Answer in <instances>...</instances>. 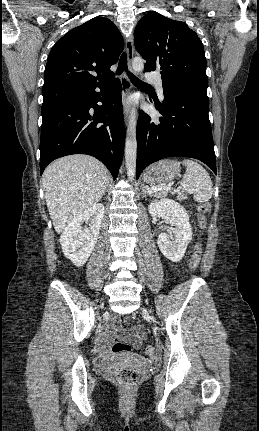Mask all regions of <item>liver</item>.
I'll return each instance as SVG.
<instances>
[{
    "mask_svg": "<svg viewBox=\"0 0 259 431\" xmlns=\"http://www.w3.org/2000/svg\"><path fill=\"white\" fill-rule=\"evenodd\" d=\"M42 181L53 226L61 233L76 215L99 202L108 176L105 166L94 157L70 155L51 163Z\"/></svg>",
    "mask_w": 259,
    "mask_h": 431,
    "instance_id": "6515ba94",
    "label": "liver"
}]
</instances>
